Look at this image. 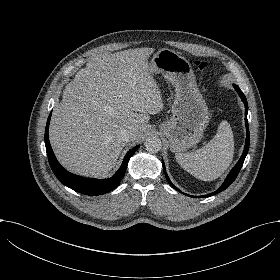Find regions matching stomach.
<instances>
[{"instance_id": "obj_1", "label": "stomach", "mask_w": 280, "mask_h": 280, "mask_svg": "<svg viewBox=\"0 0 280 280\" xmlns=\"http://www.w3.org/2000/svg\"><path fill=\"white\" fill-rule=\"evenodd\" d=\"M151 74H161L175 88L170 120L159 125L173 152H183L200 142L209 112L190 62L174 50H158L150 62Z\"/></svg>"}]
</instances>
